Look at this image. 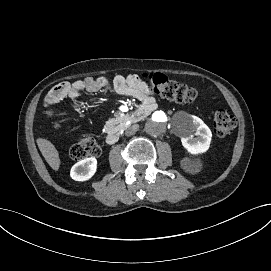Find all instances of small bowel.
I'll return each mask as SVG.
<instances>
[{"instance_id": "obj_1", "label": "small bowel", "mask_w": 271, "mask_h": 271, "mask_svg": "<svg viewBox=\"0 0 271 271\" xmlns=\"http://www.w3.org/2000/svg\"><path fill=\"white\" fill-rule=\"evenodd\" d=\"M101 90H112L118 95L137 99L147 111L156 107V101L149 86L136 74H120L115 76L112 82L104 76L63 82L48 93L46 103H57L65 98L77 99L83 92L97 93Z\"/></svg>"}]
</instances>
